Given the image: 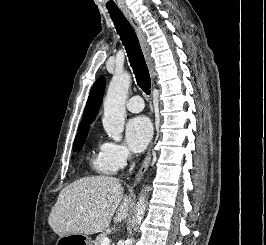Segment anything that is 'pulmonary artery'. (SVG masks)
<instances>
[{"mask_svg": "<svg viewBox=\"0 0 266 245\" xmlns=\"http://www.w3.org/2000/svg\"><path fill=\"white\" fill-rule=\"evenodd\" d=\"M125 107L133 113L141 112L144 108L142 96H131L126 102Z\"/></svg>", "mask_w": 266, "mask_h": 245, "instance_id": "1", "label": "pulmonary artery"}]
</instances>
